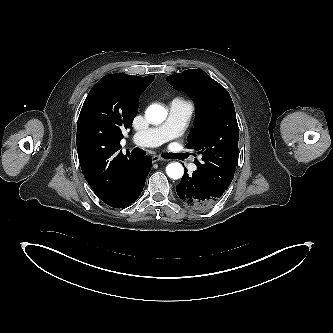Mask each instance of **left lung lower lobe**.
Masks as SVG:
<instances>
[{"label":"left lung lower lobe","instance_id":"left-lung-lower-lobe-1","mask_svg":"<svg viewBox=\"0 0 333 333\" xmlns=\"http://www.w3.org/2000/svg\"><path fill=\"white\" fill-rule=\"evenodd\" d=\"M225 190L197 171H194L191 176L185 172L180 183L176 186L181 201L196 210L211 208L221 198Z\"/></svg>","mask_w":333,"mask_h":333}]
</instances>
